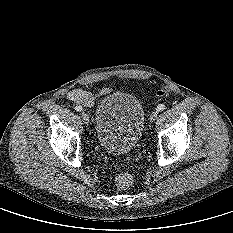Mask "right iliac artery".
Listing matches in <instances>:
<instances>
[{
  "mask_svg": "<svg viewBox=\"0 0 233 233\" xmlns=\"http://www.w3.org/2000/svg\"><path fill=\"white\" fill-rule=\"evenodd\" d=\"M75 110L78 111V112H81L83 110V108L81 106H76Z\"/></svg>",
  "mask_w": 233,
  "mask_h": 233,
  "instance_id": "obj_1",
  "label": "right iliac artery"
}]
</instances>
